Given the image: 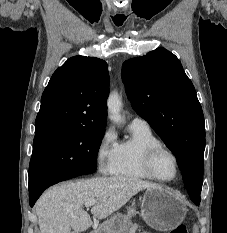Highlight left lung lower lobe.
<instances>
[{"instance_id": "0a47b994", "label": "left lung lower lobe", "mask_w": 227, "mask_h": 233, "mask_svg": "<svg viewBox=\"0 0 227 233\" xmlns=\"http://www.w3.org/2000/svg\"><path fill=\"white\" fill-rule=\"evenodd\" d=\"M195 204H197V205H199V201H197V200H192Z\"/></svg>"}]
</instances>
